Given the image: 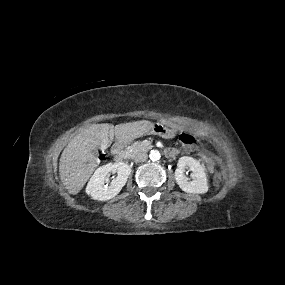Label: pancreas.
I'll list each match as a JSON object with an SVG mask.
<instances>
[{
    "label": "pancreas",
    "mask_w": 285,
    "mask_h": 285,
    "mask_svg": "<svg viewBox=\"0 0 285 285\" xmlns=\"http://www.w3.org/2000/svg\"><path fill=\"white\" fill-rule=\"evenodd\" d=\"M149 149L148 146H146L143 142H134L131 146L128 147V152L130 153L131 156L142 152V151H147Z\"/></svg>",
    "instance_id": "1"
}]
</instances>
